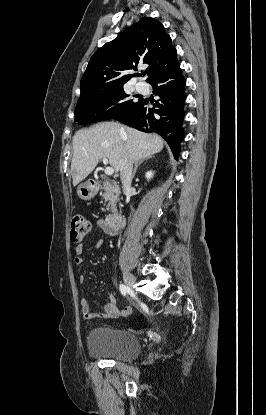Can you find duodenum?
<instances>
[{"instance_id":"1","label":"duodenum","mask_w":266,"mask_h":415,"mask_svg":"<svg viewBox=\"0 0 266 415\" xmlns=\"http://www.w3.org/2000/svg\"><path fill=\"white\" fill-rule=\"evenodd\" d=\"M92 186L95 187L96 183L92 182ZM104 222L107 228H109L110 230L117 231L123 227L125 219L122 215L118 213H112L105 218Z\"/></svg>"}]
</instances>
